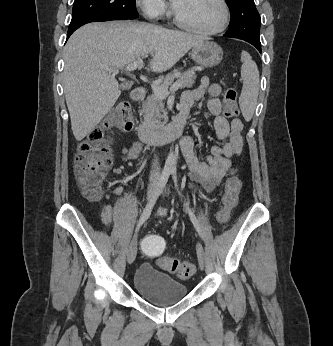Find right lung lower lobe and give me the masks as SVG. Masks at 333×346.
I'll use <instances>...</instances> for the list:
<instances>
[{
    "instance_id": "1",
    "label": "right lung lower lobe",
    "mask_w": 333,
    "mask_h": 346,
    "mask_svg": "<svg viewBox=\"0 0 333 346\" xmlns=\"http://www.w3.org/2000/svg\"><path fill=\"white\" fill-rule=\"evenodd\" d=\"M77 29H78V28H77ZM75 30H76V29H75ZM75 30L68 31V33H67V39L70 37V35H71Z\"/></svg>"
}]
</instances>
